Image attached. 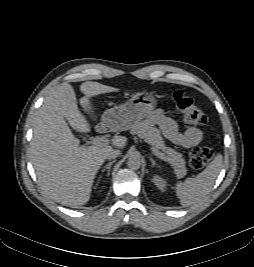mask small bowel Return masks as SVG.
<instances>
[{
  "label": "small bowel",
  "mask_w": 254,
  "mask_h": 267,
  "mask_svg": "<svg viewBox=\"0 0 254 267\" xmlns=\"http://www.w3.org/2000/svg\"><path fill=\"white\" fill-rule=\"evenodd\" d=\"M151 120L157 124L163 134L173 143L184 148H191L202 141V132L198 128H190L184 132L179 131L176 122L157 110L152 113Z\"/></svg>",
  "instance_id": "c3829d8e"
}]
</instances>
